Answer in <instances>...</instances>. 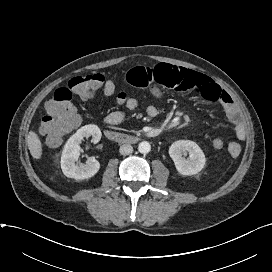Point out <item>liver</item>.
Instances as JSON below:
<instances>
[{
    "label": "liver",
    "instance_id": "obj_1",
    "mask_svg": "<svg viewBox=\"0 0 272 272\" xmlns=\"http://www.w3.org/2000/svg\"><path fill=\"white\" fill-rule=\"evenodd\" d=\"M27 143L32 157L40 159L42 156V143L39 136L35 132L30 131L27 137Z\"/></svg>",
    "mask_w": 272,
    "mask_h": 272
}]
</instances>
